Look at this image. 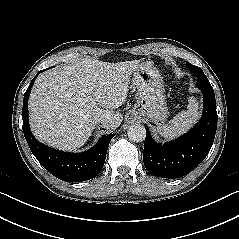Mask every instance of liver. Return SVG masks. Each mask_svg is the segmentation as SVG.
<instances>
[{"mask_svg": "<svg viewBox=\"0 0 239 239\" xmlns=\"http://www.w3.org/2000/svg\"><path fill=\"white\" fill-rule=\"evenodd\" d=\"M138 65L137 60L83 58L39 76L29 98L34 136L50 147L72 151L87 142L102 116L110 118L103 127L115 130L123 116L114 109L126 101L130 75Z\"/></svg>", "mask_w": 239, "mask_h": 239, "instance_id": "6515ba94", "label": "liver"}]
</instances>
